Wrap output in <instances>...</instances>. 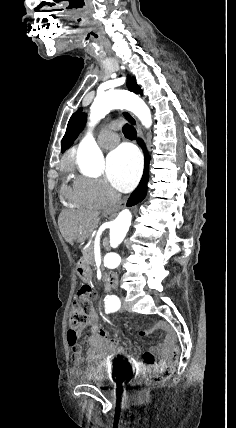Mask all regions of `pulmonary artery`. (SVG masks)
<instances>
[{
	"instance_id": "e3ab8cb5",
	"label": "pulmonary artery",
	"mask_w": 236,
	"mask_h": 428,
	"mask_svg": "<svg viewBox=\"0 0 236 428\" xmlns=\"http://www.w3.org/2000/svg\"><path fill=\"white\" fill-rule=\"evenodd\" d=\"M110 135H113L115 140H118V139H119L118 134H117V133H115V132H110ZM114 146H115V143L113 144V143L103 142V143L101 144V147H102V148H104V149H111V148H113Z\"/></svg>"
}]
</instances>
